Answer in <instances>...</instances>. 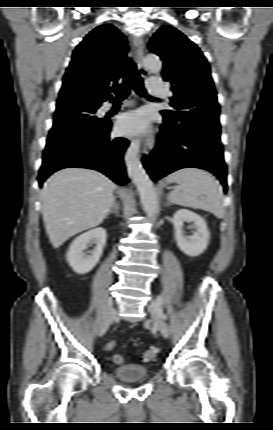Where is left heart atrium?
Listing matches in <instances>:
<instances>
[{
    "label": "left heart atrium",
    "mask_w": 273,
    "mask_h": 430,
    "mask_svg": "<svg viewBox=\"0 0 273 430\" xmlns=\"http://www.w3.org/2000/svg\"><path fill=\"white\" fill-rule=\"evenodd\" d=\"M150 116L145 110H138L122 116L118 122L119 132L131 136L147 130Z\"/></svg>",
    "instance_id": "1"
}]
</instances>
